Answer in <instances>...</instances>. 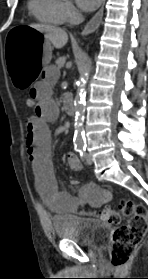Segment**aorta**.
Instances as JSON below:
<instances>
[{
  "label": "aorta",
  "instance_id": "1",
  "mask_svg": "<svg viewBox=\"0 0 148 279\" xmlns=\"http://www.w3.org/2000/svg\"><path fill=\"white\" fill-rule=\"evenodd\" d=\"M91 59H87V61L83 64L80 69V78H79V88L77 90L75 99H74V110H75V134L74 141L77 146H84V131H83V123H84V112H85V85L86 78L88 77L91 71Z\"/></svg>",
  "mask_w": 148,
  "mask_h": 279
}]
</instances>
